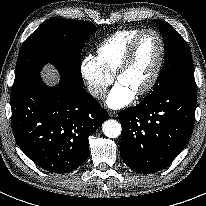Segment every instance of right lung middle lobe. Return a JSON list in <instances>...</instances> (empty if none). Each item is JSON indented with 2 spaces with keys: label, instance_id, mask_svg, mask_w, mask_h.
<instances>
[{
  "label": "right lung middle lobe",
  "instance_id": "dd1d6c3e",
  "mask_svg": "<svg viewBox=\"0 0 206 206\" xmlns=\"http://www.w3.org/2000/svg\"><path fill=\"white\" fill-rule=\"evenodd\" d=\"M96 30L88 21L51 18L43 22L20 49L12 94L38 77L45 63L55 65L61 76L71 83L83 86L81 51Z\"/></svg>",
  "mask_w": 206,
  "mask_h": 206
}]
</instances>
